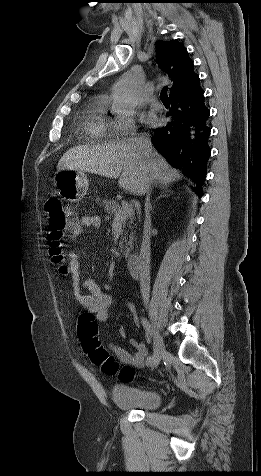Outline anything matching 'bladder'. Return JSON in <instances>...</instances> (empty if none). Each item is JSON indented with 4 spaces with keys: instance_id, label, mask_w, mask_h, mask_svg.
Here are the masks:
<instances>
[{
    "instance_id": "31cf9c89",
    "label": "bladder",
    "mask_w": 261,
    "mask_h": 476,
    "mask_svg": "<svg viewBox=\"0 0 261 476\" xmlns=\"http://www.w3.org/2000/svg\"><path fill=\"white\" fill-rule=\"evenodd\" d=\"M113 402L121 409L151 411L157 409L162 400L159 391L125 384L115 385L111 390Z\"/></svg>"
}]
</instances>
